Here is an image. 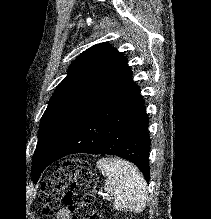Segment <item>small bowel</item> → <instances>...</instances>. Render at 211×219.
<instances>
[{
    "label": "small bowel",
    "instance_id": "c3829d8e",
    "mask_svg": "<svg viewBox=\"0 0 211 219\" xmlns=\"http://www.w3.org/2000/svg\"><path fill=\"white\" fill-rule=\"evenodd\" d=\"M58 219H71L69 211L67 209L60 211L58 214Z\"/></svg>",
    "mask_w": 211,
    "mask_h": 219
}]
</instances>
